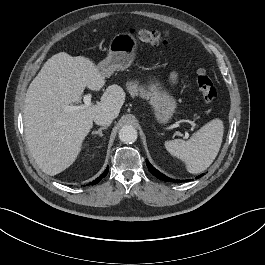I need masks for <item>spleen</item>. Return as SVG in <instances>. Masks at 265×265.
I'll list each match as a JSON object with an SVG mask.
<instances>
[{"mask_svg": "<svg viewBox=\"0 0 265 265\" xmlns=\"http://www.w3.org/2000/svg\"><path fill=\"white\" fill-rule=\"evenodd\" d=\"M223 122L214 119L205 124L188 140L165 142L167 151L185 162L187 171L198 174L206 170L216 158L223 139Z\"/></svg>", "mask_w": 265, "mask_h": 265, "instance_id": "obj_1", "label": "spleen"}]
</instances>
